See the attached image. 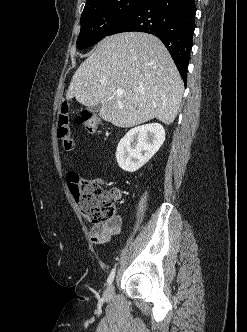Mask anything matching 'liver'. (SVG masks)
<instances>
[{"instance_id":"1","label":"liver","mask_w":247,"mask_h":332,"mask_svg":"<svg viewBox=\"0 0 247 332\" xmlns=\"http://www.w3.org/2000/svg\"><path fill=\"white\" fill-rule=\"evenodd\" d=\"M118 89L123 90L117 95ZM184 91L180 74L163 43L141 32L105 37L74 73L66 98L84 106L101 104L100 117L129 128L177 116Z\"/></svg>"}]
</instances>
